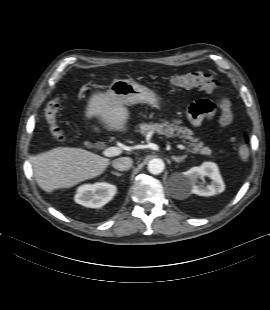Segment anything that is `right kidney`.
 <instances>
[{
    "instance_id": "ca27d5eb",
    "label": "right kidney",
    "mask_w": 270,
    "mask_h": 310,
    "mask_svg": "<svg viewBox=\"0 0 270 310\" xmlns=\"http://www.w3.org/2000/svg\"><path fill=\"white\" fill-rule=\"evenodd\" d=\"M116 194V186L99 182L85 184L77 189L75 202L89 208H100L108 203Z\"/></svg>"
}]
</instances>
